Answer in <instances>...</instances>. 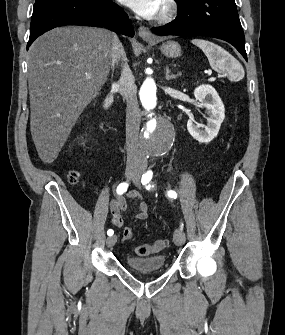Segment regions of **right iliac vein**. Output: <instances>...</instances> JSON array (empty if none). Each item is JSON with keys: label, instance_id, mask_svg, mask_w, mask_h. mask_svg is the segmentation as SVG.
<instances>
[{"label": "right iliac vein", "instance_id": "right-iliac-vein-1", "mask_svg": "<svg viewBox=\"0 0 285 335\" xmlns=\"http://www.w3.org/2000/svg\"><path fill=\"white\" fill-rule=\"evenodd\" d=\"M135 174L136 173H135L134 170H132L130 168H127L126 175H127L128 178H133L135 176ZM116 241H117V236L116 235L110 236V237L107 238V245L109 247L114 246Z\"/></svg>", "mask_w": 285, "mask_h": 335}]
</instances>
